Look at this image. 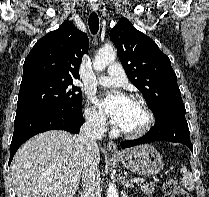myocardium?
I'll return each mask as SVG.
<instances>
[{"mask_svg":"<svg viewBox=\"0 0 209 197\" xmlns=\"http://www.w3.org/2000/svg\"><path fill=\"white\" fill-rule=\"evenodd\" d=\"M135 102L138 103L144 110L146 115V120L144 124L136 130L127 131V130L119 129V133L127 138H139L144 136L150 131V129L152 128L155 122L154 113L148 106L147 102L140 97L135 98Z\"/></svg>","mask_w":209,"mask_h":197,"instance_id":"1","label":"myocardium"}]
</instances>
